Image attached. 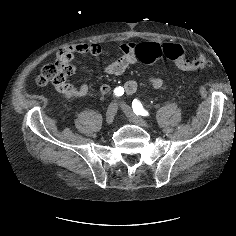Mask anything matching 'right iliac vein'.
I'll return each instance as SVG.
<instances>
[{
  "instance_id": "right-iliac-vein-1",
  "label": "right iliac vein",
  "mask_w": 236,
  "mask_h": 236,
  "mask_svg": "<svg viewBox=\"0 0 236 236\" xmlns=\"http://www.w3.org/2000/svg\"><path fill=\"white\" fill-rule=\"evenodd\" d=\"M117 112V105L116 103H111L106 112V122L107 124L111 125L114 122V117Z\"/></svg>"
}]
</instances>
